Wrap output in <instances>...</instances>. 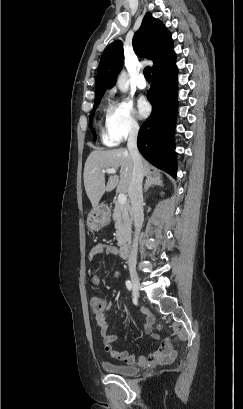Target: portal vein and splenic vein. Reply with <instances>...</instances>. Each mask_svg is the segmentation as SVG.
<instances>
[{
  "instance_id": "18ae733b",
  "label": "portal vein and splenic vein",
  "mask_w": 243,
  "mask_h": 409,
  "mask_svg": "<svg viewBox=\"0 0 243 409\" xmlns=\"http://www.w3.org/2000/svg\"><path fill=\"white\" fill-rule=\"evenodd\" d=\"M103 173H108V174H115L116 170L114 168H108V169H104L102 170ZM118 203L120 205H124L127 202V196L124 193H119L118 195Z\"/></svg>"
}]
</instances>
